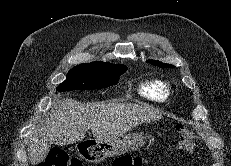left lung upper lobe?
I'll use <instances>...</instances> for the list:
<instances>
[{"instance_id":"5c2ea615","label":"left lung upper lobe","mask_w":231,"mask_h":166,"mask_svg":"<svg viewBox=\"0 0 231 166\" xmlns=\"http://www.w3.org/2000/svg\"><path fill=\"white\" fill-rule=\"evenodd\" d=\"M147 62H150L151 64L157 65L159 67H174L173 65L161 63V62L155 61V60H148Z\"/></svg>"}]
</instances>
